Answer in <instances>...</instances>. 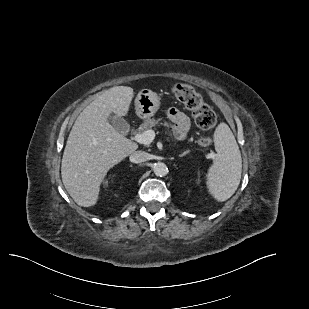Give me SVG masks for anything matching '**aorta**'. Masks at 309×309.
Returning a JSON list of instances; mask_svg holds the SVG:
<instances>
[{
	"instance_id": "762f6f07",
	"label": "aorta",
	"mask_w": 309,
	"mask_h": 309,
	"mask_svg": "<svg viewBox=\"0 0 309 309\" xmlns=\"http://www.w3.org/2000/svg\"><path fill=\"white\" fill-rule=\"evenodd\" d=\"M153 171H154L156 176L163 177L168 173V168H167L166 164H164L162 162H158L154 165Z\"/></svg>"
}]
</instances>
